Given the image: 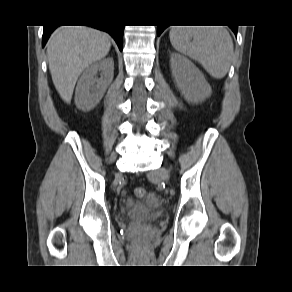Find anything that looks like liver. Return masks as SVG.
<instances>
[{
  "instance_id": "1",
  "label": "liver",
  "mask_w": 292,
  "mask_h": 292,
  "mask_svg": "<svg viewBox=\"0 0 292 292\" xmlns=\"http://www.w3.org/2000/svg\"><path fill=\"white\" fill-rule=\"evenodd\" d=\"M111 47L109 37L85 26H62L47 43L52 81L60 97L70 103L80 74L92 63L104 58Z\"/></svg>"
}]
</instances>
